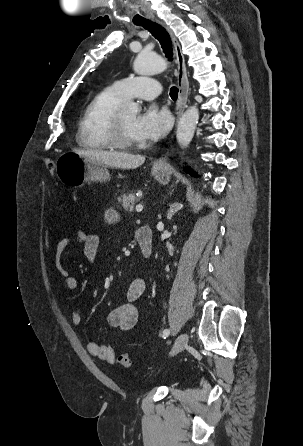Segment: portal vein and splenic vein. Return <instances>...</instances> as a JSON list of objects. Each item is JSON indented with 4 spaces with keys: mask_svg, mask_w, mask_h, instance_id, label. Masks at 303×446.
<instances>
[{
    "mask_svg": "<svg viewBox=\"0 0 303 446\" xmlns=\"http://www.w3.org/2000/svg\"><path fill=\"white\" fill-rule=\"evenodd\" d=\"M143 210V205L142 204H138L137 206H136V211L137 212H141Z\"/></svg>",
    "mask_w": 303,
    "mask_h": 446,
    "instance_id": "18ae733b",
    "label": "portal vein and splenic vein"
}]
</instances>
